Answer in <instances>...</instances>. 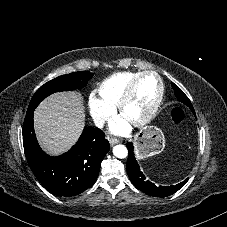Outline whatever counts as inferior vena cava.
<instances>
[{
  "label": "inferior vena cava",
  "instance_id": "1",
  "mask_svg": "<svg viewBox=\"0 0 227 227\" xmlns=\"http://www.w3.org/2000/svg\"><path fill=\"white\" fill-rule=\"evenodd\" d=\"M105 122H106V118H104V117H95L94 118V124L98 128H102L104 126Z\"/></svg>",
  "mask_w": 227,
  "mask_h": 227
}]
</instances>
